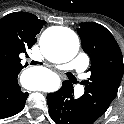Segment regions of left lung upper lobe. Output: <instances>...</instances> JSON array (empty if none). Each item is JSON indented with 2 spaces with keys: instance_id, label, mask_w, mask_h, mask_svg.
I'll use <instances>...</instances> for the list:
<instances>
[{
  "instance_id": "obj_1",
  "label": "left lung upper lobe",
  "mask_w": 124,
  "mask_h": 124,
  "mask_svg": "<svg viewBox=\"0 0 124 124\" xmlns=\"http://www.w3.org/2000/svg\"><path fill=\"white\" fill-rule=\"evenodd\" d=\"M78 34L91 59V76L85 81V93L80 99L95 122L117 95L124 71L123 56L113 35L100 24L81 23Z\"/></svg>"
}]
</instances>
